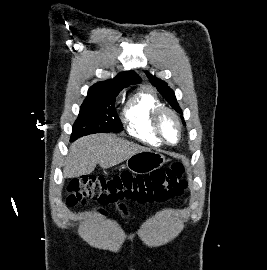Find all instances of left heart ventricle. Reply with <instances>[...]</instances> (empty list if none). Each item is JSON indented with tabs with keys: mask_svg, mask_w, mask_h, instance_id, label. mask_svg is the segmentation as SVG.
I'll return each mask as SVG.
<instances>
[{
	"mask_svg": "<svg viewBox=\"0 0 267 270\" xmlns=\"http://www.w3.org/2000/svg\"><path fill=\"white\" fill-rule=\"evenodd\" d=\"M161 129L165 138L170 142H176L178 138L177 125L169 114H164L161 118Z\"/></svg>",
	"mask_w": 267,
	"mask_h": 270,
	"instance_id": "b2bd125f",
	"label": "left heart ventricle"
}]
</instances>
